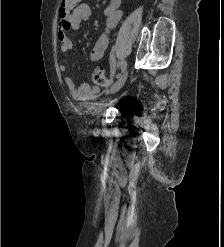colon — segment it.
<instances>
[{"mask_svg":"<svg viewBox=\"0 0 224 247\" xmlns=\"http://www.w3.org/2000/svg\"><path fill=\"white\" fill-rule=\"evenodd\" d=\"M79 2L80 0H61L59 6L61 17L65 18L70 15ZM94 81L100 86H106L109 82L107 75L101 69H96L94 72Z\"/></svg>","mask_w":224,"mask_h":247,"instance_id":"colon-1","label":"colon"}]
</instances>
